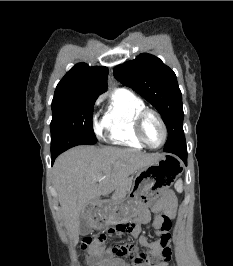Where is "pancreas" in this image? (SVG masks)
Returning <instances> with one entry per match:
<instances>
[{"label":"pancreas","mask_w":233,"mask_h":266,"mask_svg":"<svg viewBox=\"0 0 233 266\" xmlns=\"http://www.w3.org/2000/svg\"><path fill=\"white\" fill-rule=\"evenodd\" d=\"M131 180L126 181L114 194V199H121L126 196L127 192L131 188Z\"/></svg>","instance_id":"1"}]
</instances>
